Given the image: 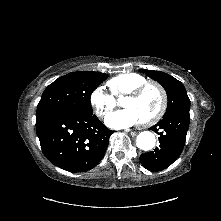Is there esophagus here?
<instances>
[{"mask_svg":"<svg viewBox=\"0 0 221 221\" xmlns=\"http://www.w3.org/2000/svg\"><path fill=\"white\" fill-rule=\"evenodd\" d=\"M136 134H137L136 132H130L131 136H136Z\"/></svg>","mask_w":221,"mask_h":221,"instance_id":"34e87169","label":"esophagus"}]
</instances>
